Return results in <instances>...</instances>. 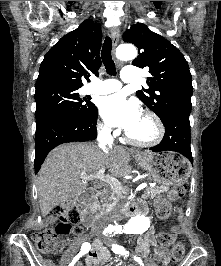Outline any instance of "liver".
<instances>
[{"label": "liver", "mask_w": 221, "mask_h": 266, "mask_svg": "<svg viewBox=\"0 0 221 266\" xmlns=\"http://www.w3.org/2000/svg\"><path fill=\"white\" fill-rule=\"evenodd\" d=\"M131 152L122 147L104 153L93 143H67L53 149L37 176V192L43 217L57 205L88 189L82 175L96 174L105 168L115 177L131 172Z\"/></svg>", "instance_id": "1"}]
</instances>
